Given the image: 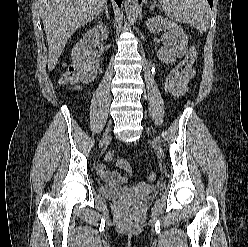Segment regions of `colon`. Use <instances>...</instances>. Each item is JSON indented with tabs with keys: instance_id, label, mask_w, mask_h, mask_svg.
Instances as JSON below:
<instances>
[{
	"instance_id": "colon-1",
	"label": "colon",
	"mask_w": 248,
	"mask_h": 247,
	"mask_svg": "<svg viewBox=\"0 0 248 247\" xmlns=\"http://www.w3.org/2000/svg\"><path fill=\"white\" fill-rule=\"evenodd\" d=\"M196 55L197 52L195 47H191L187 56L168 74L163 86L164 91L167 95L169 96L177 95L182 83V79L185 76V74L192 68L196 59ZM62 81L63 83L66 84H75L76 82L75 69L72 65H68L66 67ZM114 157H115L114 152H108L106 154L107 161H111ZM116 165L120 169L126 171L127 173L129 174L131 173V169L125 159L117 157ZM156 178L157 175L154 172H152L149 175L150 180H155Z\"/></svg>"
}]
</instances>
